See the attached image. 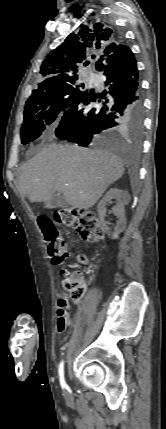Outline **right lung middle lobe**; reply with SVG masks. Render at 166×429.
Masks as SVG:
<instances>
[{"label":"right lung middle lobe","mask_w":166,"mask_h":429,"mask_svg":"<svg viewBox=\"0 0 166 429\" xmlns=\"http://www.w3.org/2000/svg\"><path fill=\"white\" fill-rule=\"evenodd\" d=\"M76 76H71L43 90L32 92L24 110L21 127L22 144L37 139L42 132L60 117L78 97L84 84L75 85Z\"/></svg>","instance_id":"dd1d6c3e"}]
</instances>
